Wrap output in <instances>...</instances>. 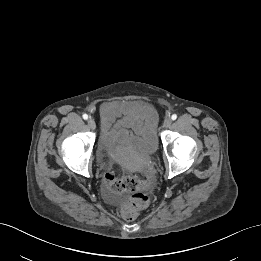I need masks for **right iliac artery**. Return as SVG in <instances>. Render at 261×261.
<instances>
[{
	"label": "right iliac artery",
	"instance_id": "right-iliac-artery-1",
	"mask_svg": "<svg viewBox=\"0 0 261 261\" xmlns=\"http://www.w3.org/2000/svg\"><path fill=\"white\" fill-rule=\"evenodd\" d=\"M82 117H83L84 120H87V119H88V115H87V114H83Z\"/></svg>",
	"mask_w": 261,
	"mask_h": 261
}]
</instances>
